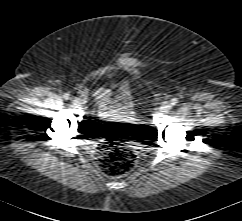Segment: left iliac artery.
<instances>
[{"label":"left iliac artery","mask_w":242,"mask_h":221,"mask_svg":"<svg viewBox=\"0 0 242 221\" xmlns=\"http://www.w3.org/2000/svg\"><path fill=\"white\" fill-rule=\"evenodd\" d=\"M178 103V99L177 98H173L172 100H171V104L172 105H176Z\"/></svg>","instance_id":"1"}]
</instances>
